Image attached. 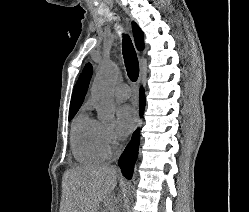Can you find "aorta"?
<instances>
[{"instance_id": "obj_1", "label": "aorta", "mask_w": 249, "mask_h": 212, "mask_svg": "<svg viewBox=\"0 0 249 212\" xmlns=\"http://www.w3.org/2000/svg\"><path fill=\"white\" fill-rule=\"evenodd\" d=\"M119 78L117 64L106 61L100 66L91 88V95L95 104L98 117L102 121L114 118L115 104L113 99V88Z\"/></svg>"}]
</instances>
